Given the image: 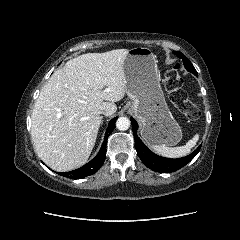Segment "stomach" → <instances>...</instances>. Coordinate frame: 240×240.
Returning <instances> with one entry per match:
<instances>
[{"label": "stomach", "instance_id": "obj_1", "mask_svg": "<svg viewBox=\"0 0 240 240\" xmlns=\"http://www.w3.org/2000/svg\"><path fill=\"white\" fill-rule=\"evenodd\" d=\"M128 108L141 125L140 134L149 145L174 146L182 130L173 118L159 83L157 61L149 48L129 50L124 59Z\"/></svg>", "mask_w": 240, "mask_h": 240}]
</instances>
